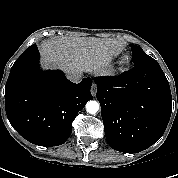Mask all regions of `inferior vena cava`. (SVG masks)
Masks as SVG:
<instances>
[{"label":"inferior vena cava","instance_id":"1","mask_svg":"<svg viewBox=\"0 0 178 178\" xmlns=\"http://www.w3.org/2000/svg\"><path fill=\"white\" fill-rule=\"evenodd\" d=\"M68 79L72 82L79 83L82 79L81 73L73 72L68 74Z\"/></svg>","mask_w":178,"mask_h":178}]
</instances>
